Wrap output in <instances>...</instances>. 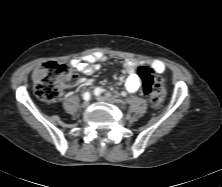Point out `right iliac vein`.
<instances>
[{"mask_svg":"<svg viewBox=\"0 0 222 187\" xmlns=\"http://www.w3.org/2000/svg\"><path fill=\"white\" fill-rule=\"evenodd\" d=\"M88 105H89V101H85V102L83 103L82 107H83V108H87Z\"/></svg>","mask_w":222,"mask_h":187,"instance_id":"obj_1","label":"right iliac vein"}]
</instances>
